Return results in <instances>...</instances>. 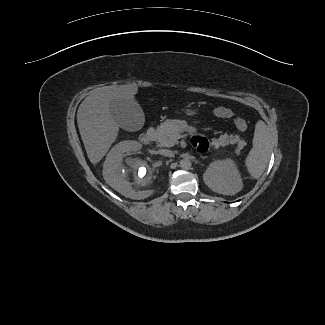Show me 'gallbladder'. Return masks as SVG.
<instances>
[{"mask_svg":"<svg viewBox=\"0 0 325 325\" xmlns=\"http://www.w3.org/2000/svg\"><path fill=\"white\" fill-rule=\"evenodd\" d=\"M109 110L118 125L126 131L140 130L144 124L143 110L135 101L114 100Z\"/></svg>","mask_w":325,"mask_h":325,"instance_id":"obj_1","label":"gallbladder"}]
</instances>
